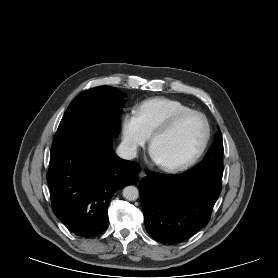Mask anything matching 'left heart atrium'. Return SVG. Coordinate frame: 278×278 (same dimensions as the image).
<instances>
[{"mask_svg":"<svg viewBox=\"0 0 278 278\" xmlns=\"http://www.w3.org/2000/svg\"><path fill=\"white\" fill-rule=\"evenodd\" d=\"M150 155H151V158L153 159L154 162L156 163H159V160L154 152V150L151 148V151H150Z\"/></svg>","mask_w":278,"mask_h":278,"instance_id":"39dd6f15","label":"left heart atrium"}]
</instances>
